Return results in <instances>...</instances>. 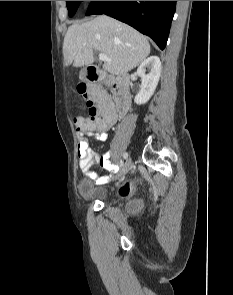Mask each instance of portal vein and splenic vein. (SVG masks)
I'll list each match as a JSON object with an SVG mask.
<instances>
[{
    "mask_svg": "<svg viewBox=\"0 0 233 295\" xmlns=\"http://www.w3.org/2000/svg\"><path fill=\"white\" fill-rule=\"evenodd\" d=\"M99 60L104 61V62L111 61V59L107 55L102 54V53L99 54Z\"/></svg>",
    "mask_w": 233,
    "mask_h": 295,
    "instance_id": "1",
    "label": "portal vein and splenic vein"
}]
</instances>
